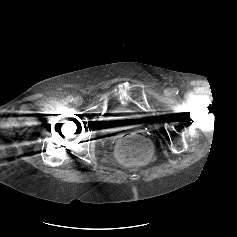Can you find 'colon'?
Returning a JSON list of instances; mask_svg holds the SVG:
<instances>
[{"label":"colon","mask_w":237,"mask_h":237,"mask_svg":"<svg viewBox=\"0 0 237 237\" xmlns=\"http://www.w3.org/2000/svg\"><path fill=\"white\" fill-rule=\"evenodd\" d=\"M116 155L125 164H143L150 160L152 146L144 135L130 133L119 140Z\"/></svg>","instance_id":"colon-1"}]
</instances>
